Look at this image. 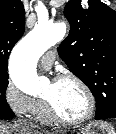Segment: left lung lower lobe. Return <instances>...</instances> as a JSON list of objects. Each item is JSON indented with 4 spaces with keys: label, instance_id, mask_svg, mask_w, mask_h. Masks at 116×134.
Returning a JSON list of instances; mask_svg holds the SVG:
<instances>
[{
    "label": "left lung lower lobe",
    "instance_id": "left-lung-lower-lobe-1",
    "mask_svg": "<svg viewBox=\"0 0 116 134\" xmlns=\"http://www.w3.org/2000/svg\"><path fill=\"white\" fill-rule=\"evenodd\" d=\"M95 117H96L97 120L108 119V118H116V112H112V113L107 114V115H96Z\"/></svg>",
    "mask_w": 116,
    "mask_h": 134
}]
</instances>
